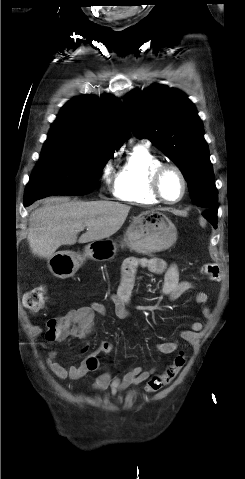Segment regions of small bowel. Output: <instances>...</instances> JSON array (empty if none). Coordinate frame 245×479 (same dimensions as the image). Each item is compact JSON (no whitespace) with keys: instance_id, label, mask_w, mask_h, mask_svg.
<instances>
[{"instance_id":"c3829d8e","label":"small bowel","mask_w":245,"mask_h":479,"mask_svg":"<svg viewBox=\"0 0 245 479\" xmlns=\"http://www.w3.org/2000/svg\"><path fill=\"white\" fill-rule=\"evenodd\" d=\"M143 267L154 273H162L164 281L160 292L170 300L178 299L183 294L194 289V283L187 280H180L179 271L176 265H168L159 258L142 259L137 257L127 258L122 266L121 279L114 293L110 295L109 304L113 307L115 315L120 318H128L131 315L130 303L135 276L138 268ZM196 303L203 305V316L209 320L211 311L206 305L208 295L204 292H198L195 295ZM108 314V305L102 303H92L89 306L73 309L66 313L62 319L69 325L67 337L79 340L83 343L81 353L86 354L84 360L79 365L64 366L57 360V350L50 348L46 356V363L61 380H78L89 373L98 372L100 369L99 354H109L113 350L110 342H102L98 350L88 353L87 333L92 329L95 315L106 316ZM51 325V320L47 326ZM203 329V324L199 321L194 322L191 328L183 330L180 333L181 339L192 342L198 332ZM53 341V340H50ZM155 348L162 354H171L178 350L179 342L171 340L157 343ZM154 373V369L144 370L142 367H130L122 376H113L108 372H102L97 375L92 383V389L95 391H105L110 389L112 395L119 394L126 389L139 385L147 381Z\"/></svg>"}]
</instances>
